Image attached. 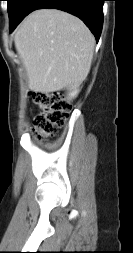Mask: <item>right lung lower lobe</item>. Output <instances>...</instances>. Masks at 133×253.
I'll return each mask as SVG.
<instances>
[{
  "label": "right lung lower lobe",
  "instance_id": "obj_1",
  "mask_svg": "<svg viewBox=\"0 0 133 253\" xmlns=\"http://www.w3.org/2000/svg\"><path fill=\"white\" fill-rule=\"evenodd\" d=\"M105 0H25L20 7V16L10 32L25 16L37 9L53 8L71 13L80 18L99 40L103 25Z\"/></svg>",
  "mask_w": 133,
  "mask_h": 253
}]
</instances>
